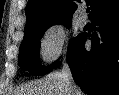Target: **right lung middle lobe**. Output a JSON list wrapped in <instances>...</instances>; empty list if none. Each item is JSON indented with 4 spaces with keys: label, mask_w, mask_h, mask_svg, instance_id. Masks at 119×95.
Returning a JSON list of instances; mask_svg holds the SVG:
<instances>
[{
    "label": "right lung middle lobe",
    "mask_w": 119,
    "mask_h": 95,
    "mask_svg": "<svg viewBox=\"0 0 119 95\" xmlns=\"http://www.w3.org/2000/svg\"><path fill=\"white\" fill-rule=\"evenodd\" d=\"M64 23L69 24L70 21H58L48 23L25 32L23 41L19 48V65L23 71H29L33 75L42 76L52 71L53 67L58 61L49 67H42L39 61L40 39L45 31L52 25ZM77 37L72 38L68 47L76 40Z\"/></svg>",
    "instance_id": "obj_1"
}]
</instances>
